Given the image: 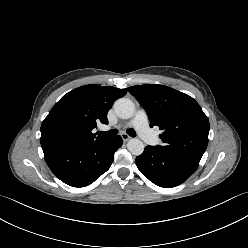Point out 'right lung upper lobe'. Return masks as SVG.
<instances>
[{
	"label": "right lung upper lobe",
	"instance_id": "cb5924a9",
	"mask_svg": "<svg viewBox=\"0 0 248 248\" xmlns=\"http://www.w3.org/2000/svg\"><path fill=\"white\" fill-rule=\"evenodd\" d=\"M126 89L85 85L65 94L51 109L41 125L42 149L81 147L108 139L96 136L97 123L107 124V113Z\"/></svg>",
	"mask_w": 248,
	"mask_h": 248
}]
</instances>
